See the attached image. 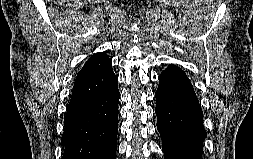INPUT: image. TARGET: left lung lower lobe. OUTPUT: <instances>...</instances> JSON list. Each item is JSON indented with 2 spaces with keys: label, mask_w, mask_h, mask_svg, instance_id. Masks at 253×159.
<instances>
[{
  "label": "left lung lower lobe",
  "mask_w": 253,
  "mask_h": 159,
  "mask_svg": "<svg viewBox=\"0 0 253 159\" xmlns=\"http://www.w3.org/2000/svg\"><path fill=\"white\" fill-rule=\"evenodd\" d=\"M159 81L155 112L164 159H202L206 131L190 80L179 67L170 65Z\"/></svg>",
  "instance_id": "left-lung-lower-lobe-1"
}]
</instances>
